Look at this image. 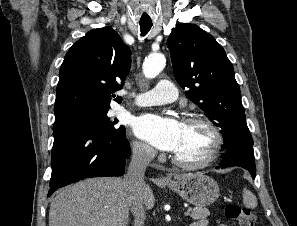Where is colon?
Listing matches in <instances>:
<instances>
[{
  "label": "colon",
  "mask_w": 297,
  "mask_h": 226,
  "mask_svg": "<svg viewBox=\"0 0 297 226\" xmlns=\"http://www.w3.org/2000/svg\"><path fill=\"white\" fill-rule=\"evenodd\" d=\"M225 215L228 219L237 222L240 226H254L255 224L254 215L235 203L226 206Z\"/></svg>",
  "instance_id": "1"
}]
</instances>
